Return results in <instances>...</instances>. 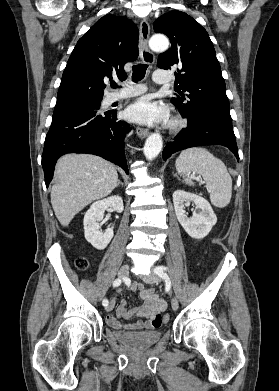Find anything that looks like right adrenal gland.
I'll use <instances>...</instances> for the list:
<instances>
[{"label": "right adrenal gland", "mask_w": 279, "mask_h": 391, "mask_svg": "<svg viewBox=\"0 0 279 391\" xmlns=\"http://www.w3.org/2000/svg\"><path fill=\"white\" fill-rule=\"evenodd\" d=\"M119 185L123 186V183L120 180H118L116 187H118Z\"/></svg>", "instance_id": "right-adrenal-gland-1"}]
</instances>
